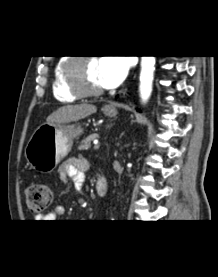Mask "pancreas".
I'll list each match as a JSON object with an SVG mask.
<instances>
[{
  "label": "pancreas",
  "mask_w": 218,
  "mask_h": 277,
  "mask_svg": "<svg viewBox=\"0 0 218 277\" xmlns=\"http://www.w3.org/2000/svg\"><path fill=\"white\" fill-rule=\"evenodd\" d=\"M98 137L97 134H91L86 137L79 146V150H88L91 147V142Z\"/></svg>",
  "instance_id": "obj_1"
}]
</instances>
